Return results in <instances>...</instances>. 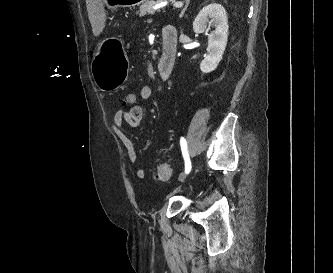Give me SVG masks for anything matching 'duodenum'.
<instances>
[{
  "mask_svg": "<svg viewBox=\"0 0 333 273\" xmlns=\"http://www.w3.org/2000/svg\"><path fill=\"white\" fill-rule=\"evenodd\" d=\"M177 47V29L171 25L164 26L162 31V52L157 66L158 75L163 81L168 80L173 72Z\"/></svg>",
  "mask_w": 333,
  "mask_h": 273,
  "instance_id": "obj_1",
  "label": "duodenum"
}]
</instances>
